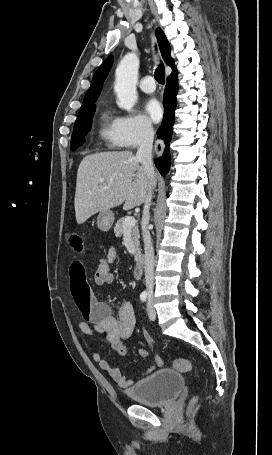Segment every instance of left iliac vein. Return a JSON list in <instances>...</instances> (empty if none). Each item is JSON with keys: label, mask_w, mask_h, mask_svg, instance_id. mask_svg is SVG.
Returning <instances> with one entry per match:
<instances>
[{"label": "left iliac vein", "mask_w": 272, "mask_h": 455, "mask_svg": "<svg viewBox=\"0 0 272 455\" xmlns=\"http://www.w3.org/2000/svg\"><path fill=\"white\" fill-rule=\"evenodd\" d=\"M147 311H148V316L151 320H155L156 318V311H155V308L153 306V303H152V300H149L148 301V307H147Z\"/></svg>", "instance_id": "4c4485c4"}]
</instances>
